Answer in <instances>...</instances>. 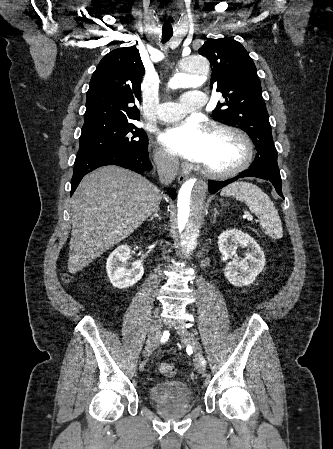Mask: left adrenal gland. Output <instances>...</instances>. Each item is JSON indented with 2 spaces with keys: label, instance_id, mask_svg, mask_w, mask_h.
<instances>
[{
  "label": "left adrenal gland",
  "instance_id": "1",
  "mask_svg": "<svg viewBox=\"0 0 333 449\" xmlns=\"http://www.w3.org/2000/svg\"><path fill=\"white\" fill-rule=\"evenodd\" d=\"M220 213L217 211V208H214V214H213V222H216V217L217 215H219Z\"/></svg>",
  "mask_w": 333,
  "mask_h": 449
}]
</instances>
